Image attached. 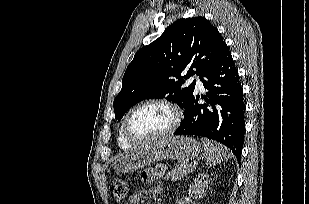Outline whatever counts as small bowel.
Here are the masks:
<instances>
[{"mask_svg": "<svg viewBox=\"0 0 309 204\" xmlns=\"http://www.w3.org/2000/svg\"><path fill=\"white\" fill-rule=\"evenodd\" d=\"M162 170H163L162 168L147 169L142 173V180L144 182H150L154 178H156V176L160 175L162 173ZM140 200H141V193H136L131 197L129 204H139Z\"/></svg>", "mask_w": 309, "mask_h": 204, "instance_id": "1", "label": "small bowel"}]
</instances>
